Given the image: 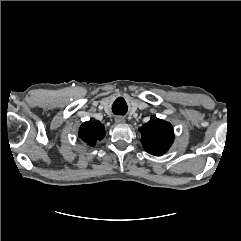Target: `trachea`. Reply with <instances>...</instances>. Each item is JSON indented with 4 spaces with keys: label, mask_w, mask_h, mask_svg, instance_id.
Segmentation results:
<instances>
[{
    "label": "trachea",
    "mask_w": 241,
    "mask_h": 241,
    "mask_svg": "<svg viewBox=\"0 0 241 241\" xmlns=\"http://www.w3.org/2000/svg\"><path fill=\"white\" fill-rule=\"evenodd\" d=\"M112 110L114 114L124 115L127 112V105L118 99L114 102Z\"/></svg>",
    "instance_id": "1"
}]
</instances>
